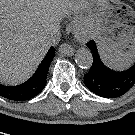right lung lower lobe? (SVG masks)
<instances>
[{
    "instance_id": "right-lung-lower-lobe-1",
    "label": "right lung lower lobe",
    "mask_w": 135,
    "mask_h": 135,
    "mask_svg": "<svg viewBox=\"0 0 135 135\" xmlns=\"http://www.w3.org/2000/svg\"><path fill=\"white\" fill-rule=\"evenodd\" d=\"M54 56L55 51L51 47L35 74L28 81L17 86L0 84V95L13 101H26L37 96L46 85L49 65Z\"/></svg>"
}]
</instances>
